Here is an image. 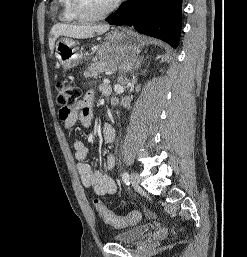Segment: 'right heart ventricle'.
Listing matches in <instances>:
<instances>
[{
  "label": "right heart ventricle",
  "mask_w": 247,
  "mask_h": 257,
  "mask_svg": "<svg viewBox=\"0 0 247 257\" xmlns=\"http://www.w3.org/2000/svg\"><path fill=\"white\" fill-rule=\"evenodd\" d=\"M61 5V19L66 22L80 20L73 10L72 0H59Z\"/></svg>",
  "instance_id": "e07e8e85"
}]
</instances>
